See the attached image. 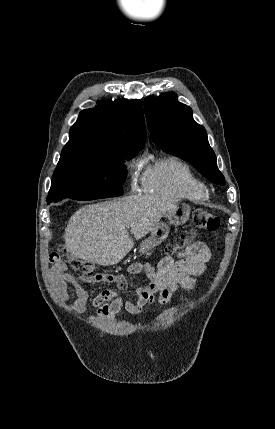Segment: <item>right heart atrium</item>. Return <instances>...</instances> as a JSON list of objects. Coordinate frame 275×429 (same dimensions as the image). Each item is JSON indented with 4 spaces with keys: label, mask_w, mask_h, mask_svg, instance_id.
Wrapping results in <instances>:
<instances>
[{
    "label": "right heart atrium",
    "mask_w": 275,
    "mask_h": 429,
    "mask_svg": "<svg viewBox=\"0 0 275 429\" xmlns=\"http://www.w3.org/2000/svg\"><path fill=\"white\" fill-rule=\"evenodd\" d=\"M124 167L130 177L131 185L134 187L139 178V171H140L138 157L135 156L127 159L124 163Z\"/></svg>",
    "instance_id": "obj_1"
}]
</instances>
